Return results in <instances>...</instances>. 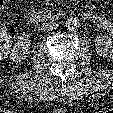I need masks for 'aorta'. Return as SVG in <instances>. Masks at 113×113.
Instances as JSON below:
<instances>
[{
  "instance_id": "762f6f07",
  "label": "aorta",
  "mask_w": 113,
  "mask_h": 113,
  "mask_svg": "<svg viewBox=\"0 0 113 113\" xmlns=\"http://www.w3.org/2000/svg\"><path fill=\"white\" fill-rule=\"evenodd\" d=\"M65 26L69 31H76L81 26V21L76 16H70L66 19Z\"/></svg>"
}]
</instances>
